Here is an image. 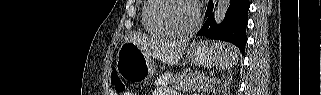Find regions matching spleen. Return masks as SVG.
Here are the masks:
<instances>
[{
  "instance_id": "spleen-1",
  "label": "spleen",
  "mask_w": 321,
  "mask_h": 95,
  "mask_svg": "<svg viewBox=\"0 0 321 95\" xmlns=\"http://www.w3.org/2000/svg\"><path fill=\"white\" fill-rule=\"evenodd\" d=\"M238 62V49L231 44H227L224 52L216 61V68L219 70L230 69Z\"/></svg>"
}]
</instances>
